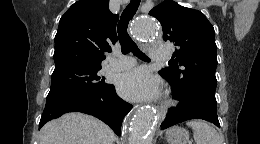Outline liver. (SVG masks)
I'll return each instance as SVG.
<instances>
[{
  "label": "liver",
  "instance_id": "liver-1",
  "mask_svg": "<svg viewBox=\"0 0 260 144\" xmlns=\"http://www.w3.org/2000/svg\"><path fill=\"white\" fill-rule=\"evenodd\" d=\"M114 139L106 124L83 113L65 114L40 131V144H114Z\"/></svg>",
  "mask_w": 260,
  "mask_h": 144
}]
</instances>
